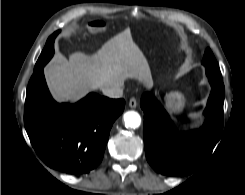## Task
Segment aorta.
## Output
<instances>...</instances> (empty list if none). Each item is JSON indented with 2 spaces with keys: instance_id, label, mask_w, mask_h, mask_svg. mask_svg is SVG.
<instances>
[{
  "instance_id": "obj_1",
  "label": "aorta",
  "mask_w": 245,
  "mask_h": 195,
  "mask_svg": "<svg viewBox=\"0 0 245 195\" xmlns=\"http://www.w3.org/2000/svg\"><path fill=\"white\" fill-rule=\"evenodd\" d=\"M125 125L129 128H138L141 124V117L135 111H128L124 114Z\"/></svg>"
}]
</instances>
